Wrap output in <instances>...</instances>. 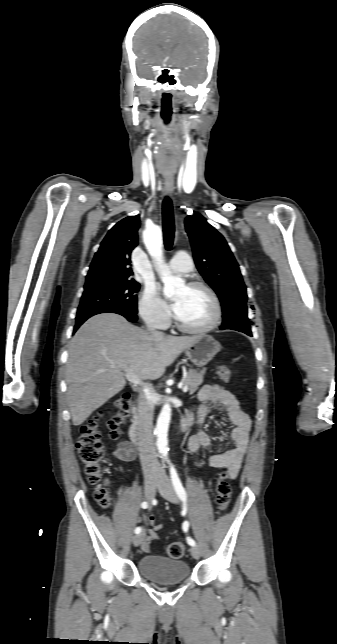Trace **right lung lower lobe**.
Masks as SVG:
<instances>
[{"mask_svg": "<svg viewBox=\"0 0 337 644\" xmlns=\"http://www.w3.org/2000/svg\"><path fill=\"white\" fill-rule=\"evenodd\" d=\"M108 312L109 313L120 314V315L124 316L125 318H127V320H129L130 322L137 321V315H136L137 313L129 312V311H126V310H106V311H102V312H99V313H96V314L108 313ZM96 314H93V315H96ZM93 315L85 316V317L76 319V325L74 327V332L80 327L81 324H83L88 318H90Z\"/></svg>", "mask_w": 337, "mask_h": 644, "instance_id": "obj_1", "label": "right lung lower lobe"}]
</instances>
